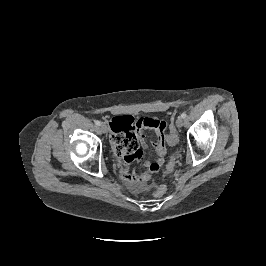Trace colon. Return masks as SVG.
Segmentation results:
<instances>
[{
	"label": "colon",
	"instance_id": "5ec220e1",
	"mask_svg": "<svg viewBox=\"0 0 266 266\" xmlns=\"http://www.w3.org/2000/svg\"><path fill=\"white\" fill-rule=\"evenodd\" d=\"M170 140L172 144L176 142V135L173 130H170ZM173 164H174V158H172L171 161L169 162L167 170H170L173 167ZM166 191L167 188L165 185H158L154 188L153 195L155 197H162L163 195H165Z\"/></svg>",
	"mask_w": 266,
	"mask_h": 266
}]
</instances>
